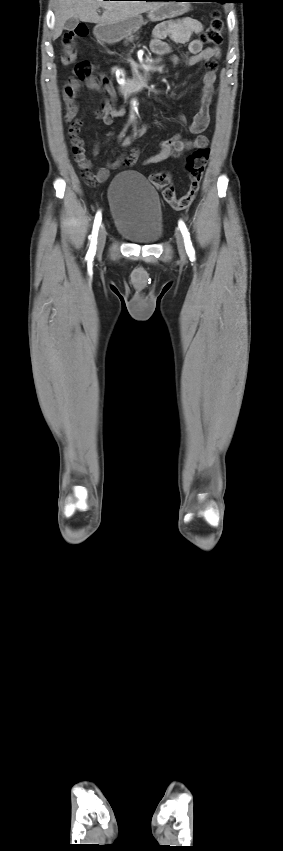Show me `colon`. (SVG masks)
I'll return each mask as SVG.
<instances>
[{"label": "colon", "instance_id": "obj_1", "mask_svg": "<svg viewBox=\"0 0 283 851\" xmlns=\"http://www.w3.org/2000/svg\"><path fill=\"white\" fill-rule=\"evenodd\" d=\"M223 31L224 25L220 14L215 11L212 14V21L209 27L201 36V40L209 44H219L222 40ZM87 33V28L84 25H79L74 30L64 34L61 40L60 52L61 62L64 65H70L76 60L77 40L85 37ZM209 155L210 150L207 147H200L187 157L185 169L189 177V187L187 192L180 198H176L171 176L167 172H157L151 175L150 180L152 184L161 191L165 201L174 209L185 210L193 203L199 191Z\"/></svg>", "mask_w": 283, "mask_h": 851}]
</instances>
